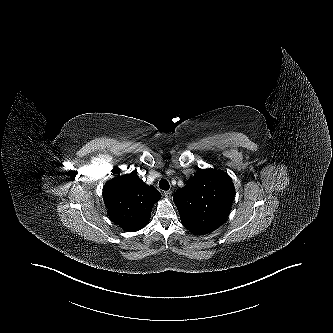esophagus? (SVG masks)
<instances>
[{"label": "esophagus", "instance_id": "1", "mask_svg": "<svg viewBox=\"0 0 333 333\" xmlns=\"http://www.w3.org/2000/svg\"><path fill=\"white\" fill-rule=\"evenodd\" d=\"M164 195L166 198H171L172 192L171 191H164Z\"/></svg>", "mask_w": 333, "mask_h": 333}]
</instances>
